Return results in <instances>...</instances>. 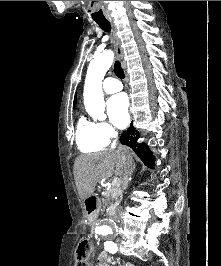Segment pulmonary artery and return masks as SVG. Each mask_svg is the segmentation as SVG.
I'll list each match as a JSON object with an SVG mask.
<instances>
[{
  "label": "pulmonary artery",
  "mask_w": 221,
  "mask_h": 266,
  "mask_svg": "<svg viewBox=\"0 0 221 266\" xmlns=\"http://www.w3.org/2000/svg\"><path fill=\"white\" fill-rule=\"evenodd\" d=\"M103 90L108 94H113L122 89V84L115 78H106L102 84Z\"/></svg>",
  "instance_id": "pulmonary-artery-1"
}]
</instances>
